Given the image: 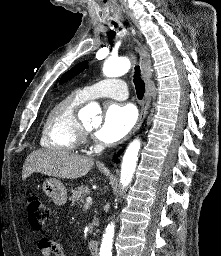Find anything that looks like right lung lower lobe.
<instances>
[{
  "label": "right lung lower lobe",
  "instance_id": "obj_1",
  "mask_svg": "<svg viewBox=\"0 0 221 256\" xmlns=\"http://www.w3.org/2000/svg\"><path fill=\"white\" fill-rule=\"evenodd\" d=\"M118 155H119V153H118ZM114 161H115L116 163H118V161H119L116 155L114 156Z\"/></svg>",
  "mask_w": 221,
  "mask_h": 256
}]
</instances>
